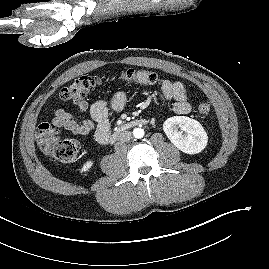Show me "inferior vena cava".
Listing matches in <instances>:
<instances>
[{
  "label": "inferior vena cava",
  "mask_w": 269,
  "mask_h": 269,
  "mask_svg": "<svg viewBox=\"0 0 269 269\" xmlns=\"http://www.w3.org/2000/svg\"><path fill=\"white\" fill-rule=\"evenodd\" d=\"M131 138H132V134L130 131H123L122 133H120L118 139L120 143H124V142H128Z\"/></svg>",
  "instance_id": "inferior-vena-cava-1"
}]
</instances>
